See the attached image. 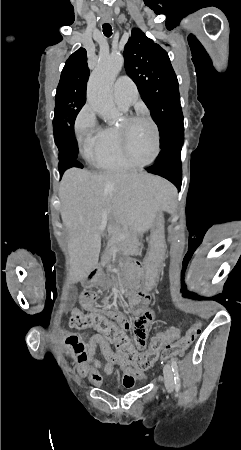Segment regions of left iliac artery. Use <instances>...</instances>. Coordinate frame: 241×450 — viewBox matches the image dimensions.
Here are the masks:
<instances>
[{
  "label": "left iliac artery",
  "mask_w": 241,
  "mask_h": 450,
  "mask_svg": "<svg viewBox=\"0 0 241 450\" xmlns=\"http://www.w3.org/2000/svg\"><path fill=\"white\" fill-rule=\"evenodd\" d=\"M171 367H172V371L174 373L175 389H176V391H179L181 388V380H180V376H179L178 365L174 358L171 359Z\"/></svg>",
  "instance_id": "1"
}]
</instances>
